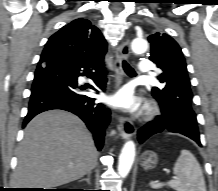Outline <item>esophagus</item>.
I'll return each instance as SVG.
<instances>
[{"label": "esophagus", "instance_id": "esophagus-1", "mask_svg": "<svg viewBox=\"0 0 218 191\" xmlns=\"http://www.w3.org/2000/svg\"><path fill=\"white\" fill-rule=\"evenodd\" d=\"M130 54V42L126 40L117 48L116 58L114 60V72L116 87L118 88L123 82V67L122 62L127 59ZM119 131L122 139H128L135 134V127L132 121L124 116L119 117Z\"/></svg>", "mask_w": 218, "mask_h": 191}]
</instances>
